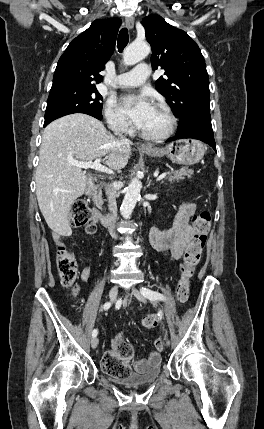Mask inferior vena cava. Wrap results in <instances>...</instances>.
I'll return each instance as SVG.
<instances>
[{"label": "inferior vena cava", "instance_id": "obj_1", "mask_svg": "<svg viewBox=\"0 0 264 429\" xmlns=\"http://www.w3.org/2000/svg\"><path fill=\"white\" fill-rule=\"evenodd\" d=\"M115 134L119 135L122 138L121 141L129 142L128 139L124 138L121 135V133L119 132V129L115 130ZM106 194H107V198H108V208L112 214V217L110 218L111 221L109 224V227H110L109 232L112 233L114 236H116L118 234L117 228L121 225L119 223L121 218L119 217V213H116L117 212V205H116V190H115V188L112 185H109L106 189Z\"/></svg>", "mask_w": 264, "mask_h": 429}]
</instances>
